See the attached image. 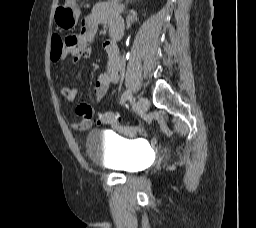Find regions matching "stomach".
<instances>
[{"label": "stomach", "mask_w": 256, "mask_h": 228, "mask_svg": "<svg viewBox=\"0 0 256 228\" xmlns=\"http://www.w3.org/2000/svg\"><path fill=\"white\" fill-rule=\"evenodd\" d=\"M81 14L78 0H66L65 4L54 11V22L58 28L63 30L73 29Z\"/></svg>", "instance_id": "stomach-1"}]
</instances>
